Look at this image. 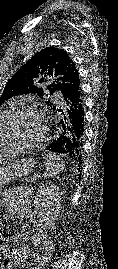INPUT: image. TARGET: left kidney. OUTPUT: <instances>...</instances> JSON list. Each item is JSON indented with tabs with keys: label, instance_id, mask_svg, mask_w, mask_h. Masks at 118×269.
I'll use <instances>...</instances> for the list:
<instances>
[{
	"label": "left kidney",
	"instance_id": "1",
	"mask_svg": "<svg viewBox=\"0 0 118 269\" xmlns=\"http://www.w3.org/2000/svg\"><path fill=\"white\" fill-rule=\"evenodd\" d=\"M61 192L56 185H40L34 200V210L39 222L53 228L60 214Z\"/></svg>",
	"mask_w": 118,
	"mask_h": 269
}]
</instances>
